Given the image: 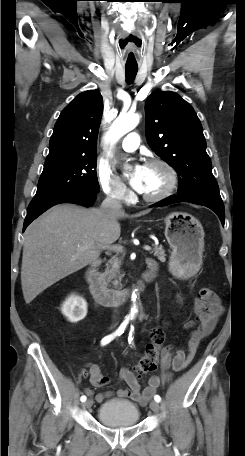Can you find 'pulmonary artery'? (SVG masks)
I'll list each match as a JSON object with an SVG mask.
<instances>
[{
	"instance_id": "1",
	"label": "pulmonary artery",
	"mask_w": 245,
	"mask_h": 456,
	"mask_svg": "<svg viewBox=\"0 0 245 456\" xmlns=\"http://www.w3.org/2000/svg\"><path fill=\"white\" fill-rule=\"evenodd\" d=\"M139 145V136L137 133H129L122 141L121 147L126 152H133Z\"/></svg>"
}]
</instances>
